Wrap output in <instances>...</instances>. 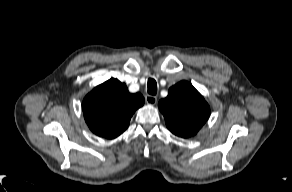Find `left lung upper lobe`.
<instances>
[{
    "instance_id": "5c2ea615",
    "label": "left lung upper lobe",
    "mask_w": 292,
    "mask_h": 192,
    "mask_svg": "<svg viewBox=\"0 0 292 192\" xmlns=\"http://www.w3.org/2000/svg\"><path fill=\"white\" fill-rule=\"evenodd\" d=\"M158 105L167 128L184 138L194 136L210 115V107L203 96L187 81L172 86L168 96Z\"/></svg>"
}]
</instances>
